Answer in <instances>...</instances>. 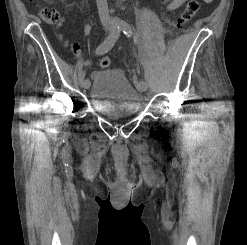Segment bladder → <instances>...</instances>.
Wrapping results in <instances>:
<instances>
[{
	"instance_id": "1",
	"label": "bladder",
	"mask_w": 247,
	"mask_h": 245,
	"mask_svg": "<svg viewBox=\"0 0 247 245\" xmlns=\"http://www.w3.org/2000/svg\"><path fill=\"white\" fill-rule=\"evenodd\" d=\"M90 85L89 97L97 113L115 117L139 112L141 96L122 70H97Z\"/></svg>"
}]
</instances>
